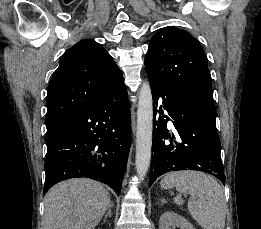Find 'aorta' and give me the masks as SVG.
Returning <instances> with one entry per match:
<instances>
[{
	"mask_svg": "<svg viewBox=\"0 0 261 229\" xmlns=\"http://www.w3.org/2000/svg\"><path fill=\"white\" fill-rule=\"evenodd\" d=\"M153 137V98L148 80L142 84L137 108L135 165L139 179H144L150 167Z\"/></svg>",
	"mask_w": 261,
	"mask_h": 229,
	"instance_id": "762f6f07",
	"label": "aorta"
}]
</instances>
